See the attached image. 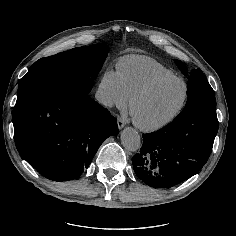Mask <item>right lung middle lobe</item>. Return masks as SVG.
I'll return each instance as SVG.
<instances>
[{"label":"right lung middle lobe","instance_id":"1","mask_svg":"<svg viewBox=\"0 0 236 236\" xmlns=\"http://www.w3.org/2000/svg\"><path fill=\"white\" fill-rule=\"evenodd\" d=\"M108 53L106 44L78 47L39 59L20 80L17 99L25 94L50 86L86 80L92 87Z\"/></svg>","mask_w":236,"mask_h":236}]
</instances>
